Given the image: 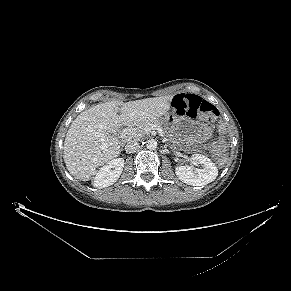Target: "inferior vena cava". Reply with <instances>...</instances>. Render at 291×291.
Returning <instances> with one entry per match:
<instances>
[{"label": "inferior vena cava", "mask_w": 291, "mask_h": 291, "mask_svg": "<svg viewBox=\"0 0 291 291\" xmlns=\"http://www.w3.org/2000/svg\"><path fill=\"white\" fill-rule=\"evenodd\" d=\"M138 148H139V143L136 140H130L125 146V151L127 153H133Z\"/></svg>", "instance_id": "602c4592"}]
</instances>
